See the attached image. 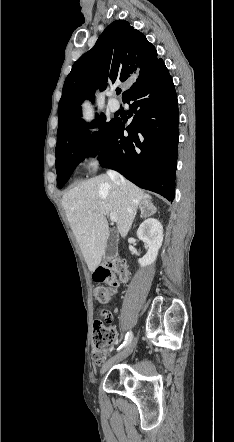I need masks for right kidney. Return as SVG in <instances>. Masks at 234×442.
Segmentation results:
<instances>
[{"mask_svg": "<svg viewBox=\"0 0 234 442\" xmlns=\"http://www.w3.org/2000/svg\"><path fill=\"white\" fill-rule=\"evenodd\" d=\"M137 236L148 246L146 255L138 263L141 267L153 264L163 242V226L157 219L147 218L140 224Z\"/></svg>", "mask_w": 234, "mask_h": 442, "instance_id": "1", "label": "right kidney"}]
</instances>
